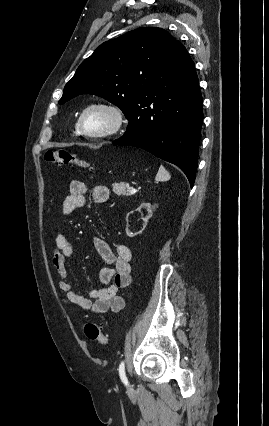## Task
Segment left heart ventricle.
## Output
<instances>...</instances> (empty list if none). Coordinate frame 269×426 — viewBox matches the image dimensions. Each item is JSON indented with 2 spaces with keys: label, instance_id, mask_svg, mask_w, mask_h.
<instances>
[{
  "label": "left heart ventricle",
  "instance_id": "1",
  "mask_svg": "<svg viewBox=\"0 0 269 426\" xmlns=\"http://www.w3.org/2000/svg\"><path fill=\"white\" fill-rule=\"evenodd\" d=\"M110 123V115L103 110H92L84 118V126L86 130L91 132L104 130Z\"/></svg>",
  "mask_w": 269,
  "mask_h": 426
}]
</instances>
